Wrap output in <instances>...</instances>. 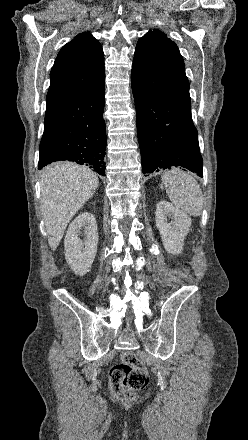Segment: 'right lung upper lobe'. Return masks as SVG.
Here are the masks:
<instances>
[{
    "instance_id": "right-lung-upper-lobe-1",
    "label": "right lung upper lobe",
    "mask_w": 248,
    "mask_h": 440,
    "mask_svg": "<svg viewBox=\"0 0 248 440\" xmlns=\"http://www.w3.org/2000/svg\"><path fill=\"white\" fill-rule=\"evenodd\" d=\"M50 79L46 103L98 88L105 82L104 54L98 40L84 32L65 44Z\"/></svg>"
}]
</instances>
